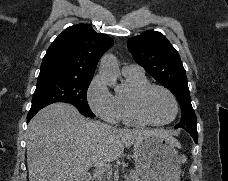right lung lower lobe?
Segmentation results:
<instances>
[{"label":"right lung lower lobe","instance_id":"obj_1","mask_svg":"<svg viewBox=\"0 0 228 181\" xmlns=\"http://www.w3.org/2000/svg\"><path fill=\"white\" fill-rule=\"evenodd\" d=\"M40 109H30L27 116V122L39 111Z\"/></svg>","mask_w":228,"mask_h":181}]
</instances>
